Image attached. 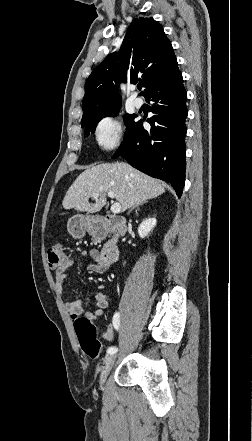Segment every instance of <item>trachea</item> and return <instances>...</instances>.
Here are the masks:
<instances>
[{"label":"trachea","mask_w":252,"mask_h":441,"mask_svg":"<svg viewBox=\"0 0 252 441\" xmlns=\"http://www.w3.org/2000/svg\"><path fill=\"white\" fill-rule=\"evenodd\" d=\"M142 86H138V89L141 90Z\"/></svg>","instance_id":"trachea-1"}]
</instances>
